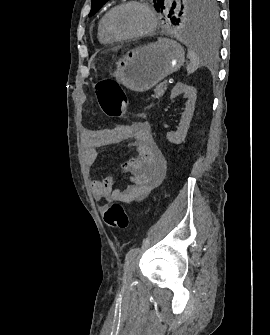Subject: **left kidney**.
Returning a JSON list of instances; mask_svg holds the SVG:
<instances>
[{
    "label": "left kidney",
    "mask_w": 270,
    "mask_h": 335,
    "mask_svg": "<svg viewBox=\"0 0 270 335\" xmlns=\"http://www.w3.org/2000/svg\"><path fill=\"white\" fill-rule=\"evenodd\" d=\"M179 94H184V98H188V100L185 112L182 114V120H180L179 128H177V132H167V140L172 142V144H182V142H184L193 112L195 110V88H193V86H186V84H182V82H177L176 86H174L173 90H171L170 98H176Z\"/></svg>",
    "instance_id": "1"
}]
</instances>
